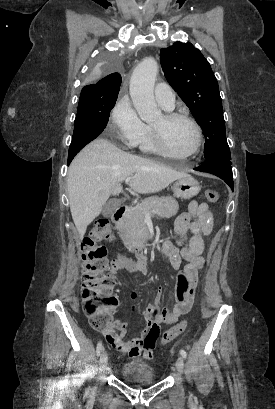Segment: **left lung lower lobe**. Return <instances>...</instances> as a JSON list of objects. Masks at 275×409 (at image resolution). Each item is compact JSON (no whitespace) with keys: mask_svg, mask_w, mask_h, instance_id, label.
Returning a JSON list of instances; mask_svg holds the SVG:
<instances>
[{"mask_svg":"<svg viewBox=\"0 0 275 409\" xmlns=\"http://www.w3.org/2000/svg\"><path fill=\"white\" fill-rule=\"evenodd\" d=\"M231 157L219 156L210 160H206L201 166L195 168L197 171L214 174L223 179L233 191V178Z\"/></svg>","mask_w":275,"mask_h":409,"instance_id":"0a47b994","label":"left lung lower lobe"}]
</instances>
